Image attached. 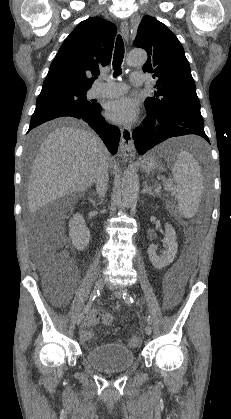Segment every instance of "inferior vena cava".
I'll list each match as a JSON object with an SVG mask.
<instances>
[{"instance_id":"602c4592","label":"inferior vena cava","mask_w":231,"mask_h":419,"mask_svg":"<svg viewBox=\"0 0 231 419\" xmlns=\"http://www.w3.org/2000/svg\"><path fill=\"white\" fill-rule=\"evenodd\" d=\"M108 168L109 163L104 162L99 166L96 174V192L101 199L105 197L108 187Z\"/></svg>"}]
</instances>
